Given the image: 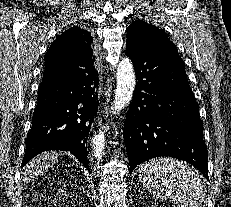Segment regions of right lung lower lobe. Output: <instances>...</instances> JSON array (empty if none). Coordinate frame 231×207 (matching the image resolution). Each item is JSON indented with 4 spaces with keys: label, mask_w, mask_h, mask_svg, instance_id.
Returning a JSON list of instances; mask_svg holds the SVG:
<instances>
[{
    "label": "right lung lower lobe",
    "mask_w": 231,
    "mask_h": 207,
    "mask_svg": "<svg viewBox=\"0 0 231 207\" xmlns=\"http://www.w3.org/2000/svg\"><path fill=\"white\" fill-rule=\"evenodd\" d=\"M98 84L93 56L72 71L44 70L22 167L43 151L63 150L90 172L87 139L98 111Z\"/></svg>",
    "instance_id": "right-lung-lower-lobe-1"
}]
</instances>
